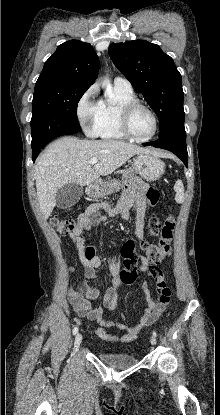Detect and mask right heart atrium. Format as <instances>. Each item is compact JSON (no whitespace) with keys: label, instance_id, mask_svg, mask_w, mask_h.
Wrapping results in <instances>:
<instances>
[{"label":"right heart atrium","instance_id":"d8ad5b80","mask_svg":"<svg viewBox=\"0 0 220 415\" xmlns=\"http://www.w3.org/2000/svg\"><path fill=\"white\" fill-rule=\"evenodd\" d=\"M95 87H90L81 97L77 106V116L81 127L89 136L96 135V126L100 113L99 101L94 100Z\"/></svg>","mask_w":220,"mask_h":415}]
</instances>
